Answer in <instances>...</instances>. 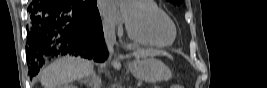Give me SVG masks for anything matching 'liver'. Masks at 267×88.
Masks as SVG:
<instances>
[{"mask_svg": "<svg viewBox=\"0 0 267 88\" xmlns=\"http://www.w3.org/2000/svg\"><path fill=\"white\" fill-rule=\"evenodd\" d=\"M132 55L138 58H146L167 54L163 51L137 49ZM113 65L117 70L121 68V64L118 61H115ZM93 73L92 62L80 58L64 57L57 59L48 67L42 69L40 81L44 88H56L77 79L88 77Z\"/></svg>", "mask_w": 267, "mask_h": 88, "instance_id": "1", "label": "liver"}]
</instances>
